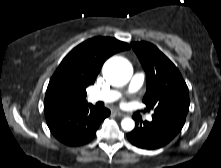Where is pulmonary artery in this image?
<instances>
[{
  "instance_id": "1",
  "label": "pulmonary artery",
  "mask_w": 221,
  "mask_h": 168,
  "mask_svg": "<svg viewBox=\"0 0 221 168\" xmlns=\"http://www.w3.org/2000/svg\"><path fill=\"white\" fill-rule=\"evenodd\" d=\"M145 75L142 72H137L131 79L129 85V91L134 92L137 91L143 84ZM121 96L119 91L116 90H99L94 91L90 94L89 98L92 102L103 101L106 103H111L116 101ZM147 120L151 121L152 116L148 115Z\"/></svg>"
}]
</instances>
